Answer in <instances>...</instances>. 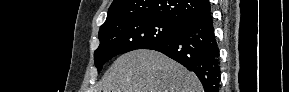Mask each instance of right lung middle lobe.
<instances>
[{
  "mask_svg": "<svg viewBox=\"0 0 289 92\" xmlns=\"http://www.w3.org/2000/svg\"><path fill=\"white\" fill-rule=\"evenodd\" d=\"M180 27L179 22L145 17L119 21L100 29V45L94 53L98 72L114 56L165 41L174 36Z\"/></svg>",
  "mask_w": 289,
  "mask_h": 92,
  "instance_id": "obj_1",
  "label": "right lung middle lobe"
}]
</instances>
